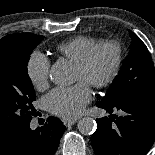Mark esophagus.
I'll use <instances>...</instances> for the list:
<instances>
[{"label":"esophagus","instance_id":"obj_1","mask_svg":"<svg viewBox=\"0 0 155 155\" xmlns=\"http://www.w3.org/2000/svg\"><path fill=\"white\" fill-rule=\"evenodd\" d=\"M77 119H66L64 120L65 126L69 127L71 125H74L76 123Z\"/></svg>","mask_w":155,"mask_h":155}]
</instances>
